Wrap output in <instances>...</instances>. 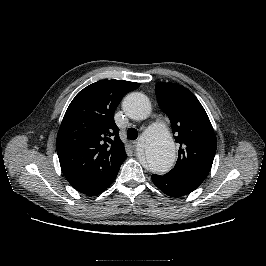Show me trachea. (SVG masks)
I'll return each mask as SVG.
<instances>
[{"mask_svg": "<svg viewBox=\"0 0 266 266\" xmlns=\"http://www.w3.org/2000/svg\"><path fill=\"white\" fill-rule=\"evenodd\" d=\"M137 137H138V132L135 128H129L127 130V138L129 140H135L137 139Z\"/></svg>", "mask_w": 266, "mask_h": 266, "instance_id": "trachea-1", "label": "trachea"}]
</instances>
